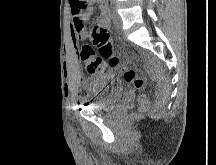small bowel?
I'll use <instances>...</instances> for the list:
<instances>
[{"instance_id":"c3829d8e","label":"small bowel","mask_w":216,"mask_h":165,"mask_svg":"<svg viewBox=\"0 0 216 165\" xmlns=\"http://www.w3.org/2000/svg\"><path fill=\"white\" fill-rule=\"evenodd\" d=\"M86 5H75V9L72 7V22L70 24V40L71 44L78 55V59L80 57L78 42L80 40H84L88 37V34L85 30V23L90 20L91 13L93 10V6L98 4L100 6L101 14L97 19V24L101 26H109V11L106 5V0H85ZM87 73L90 76H95L98 73L89 72L86 69Z\"/></svg>"}]
</instances>
